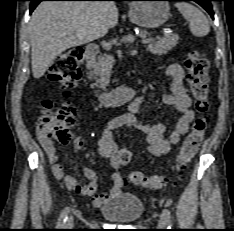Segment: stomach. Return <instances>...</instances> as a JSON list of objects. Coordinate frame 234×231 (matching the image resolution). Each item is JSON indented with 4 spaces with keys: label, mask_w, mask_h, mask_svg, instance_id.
<instances>
[{
    "label": "stomach",
    "mask_w": 234,
    "mask_h": 231,
    "mask_svg": "<svg viewBox=\"0 0 234 231\" xmlns=\"http://www.w3.org/2000/svg\"><path fill=\"white\" fill-rule=\"evenodd\" d=\"M169 4L160 0L132 2L129 9L131 21L143 28H157L169 18Z\"/></svg>",
    "instance_id": "0dacf381"
}]
</instances>
